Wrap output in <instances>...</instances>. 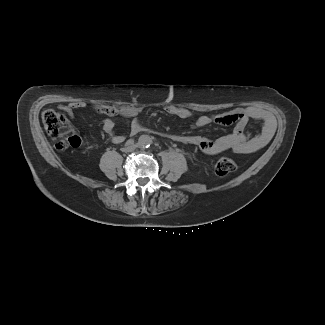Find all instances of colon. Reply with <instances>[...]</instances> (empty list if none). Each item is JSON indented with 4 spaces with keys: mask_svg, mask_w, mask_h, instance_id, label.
Instances as JSON below:
<instances>
[{
    "mask_svg": "<svg viewBox=\"0 0 325 325\" xmlns=\"http://www.w3.org/2000/svg\"><path fill=\"white\" fill-rule=\"evenodd\" d=\"M42 122L48 134L56 140L57 149L79 145V138L69 135L71 128L64 114L47 109L42 113ZM236 167V163L232 159L223 157L216 161L215 172L221 176L228 175L234 172Z\"/></svg>",
    "mask_w": 325,
    "mask_h": 325,
    "instance_id": "5ec220e1",
    "label": "colon"
}]
</instances>
